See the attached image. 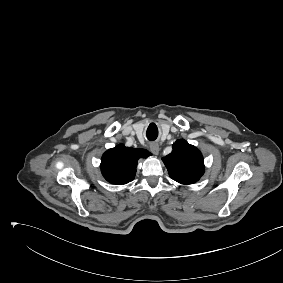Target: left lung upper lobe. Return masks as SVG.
Listing matches in <instances>:
<instances>
[{
  "label": "left lung upper lobe",
  "mask_w": 283,
  "mask_h": 283,
  "mask_svg": "<svg viewBox=\"0 0 283 283\" xmlns=\"http://www.w3.org/2000/svg\"><path fill=\"white\" fill-rule=\"evenodd\" d=\"M162 160L170 177L180 184H193L204 174L201 152L183 139L177 140L172 152Z\"/></svg>",
  "instance_id": "5c2ea615"
}]
</instances>
